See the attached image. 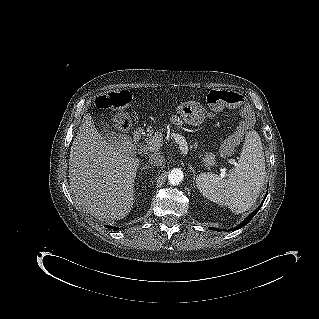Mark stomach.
Listing matches in <instances>:
<instances>
[{
  "label": "stomach",
  "mask_w": 319,
  "mask_h": 319,
  "mask_svg": "<svg viewBox=\"0 0 319 319\" xmlns=\"http://www.w3.org/2000/svg\"><path fill=\"white\" fill-rule=\"evenodd\" d=\"M183 120L190 125H200L205 119V110L199 105L184 103L179 108Z\"/></svg>",
  "instance_id": "1"
}]
</instances>
